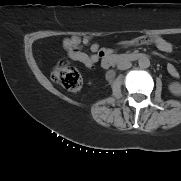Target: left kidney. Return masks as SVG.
<instances>
[{
  "mask_svg": "<svg viewBox=\"0 0 181 181\" xmlns=\"http://www.w3.org/2000/svg\"><path fill=\"white\" fill-rule=\"evenodd\" d=\"M168 89L175 96H181V84L179 82H173L169 85Z\"/></svg>",
  "mask_w": 181,
  "mask_h": 181,
  "instance_id": "5707ae66",
  "label": "left kidney"
}]
</instances>
